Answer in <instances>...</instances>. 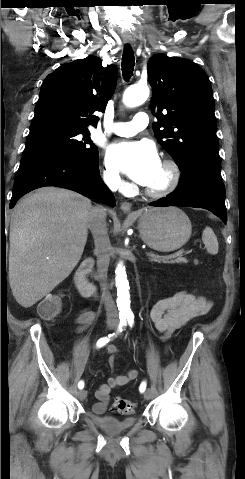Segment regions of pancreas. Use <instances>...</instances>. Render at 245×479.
Masks as SVG:
<instances>
[{
    "instance_id": "pancreas-1",
    "label": "pancreas",
    "mask_w": 245,
    "mask_h": 479,
    "mask_svg": "<svg viewBox=\"0 0 245 479\" xmlns=\"http://www.w3.org/2000/svg\"><path fill=\"white\" fill-rule=\"evenodd\" d=\"M150 261L152 262H158V263H171V264H174V263H178V264H182V263H188V260L186 258H183V257H177V258H156V257H151L150 258Z\"/></svg>"
}]
</instances>
